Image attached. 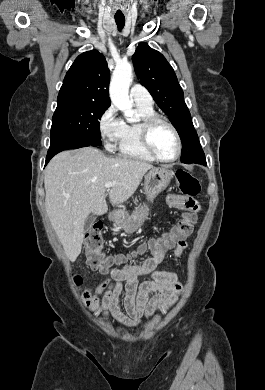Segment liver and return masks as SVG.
Listing matches in <instances>:
<instances>
[{
  "mask_svg": "<svg viewBox=\"0 0 265 390\" xmlns=\"http://www.w3.org/2000/svg\"><path fill=\"white\" fill-rule=\"evenodd\" d=\"M153 165L127 158H111L85 147L57 154L45 170V208L52 228L71 262L81 253L84 225L90 213L103 215L107 182L113 204H121L137 190Z\"/></svg>",
  "mask_w": 265,
  "mask_h": 390,
  "instance_id": "liver-1",
  "label": "liver"
}]
</instances>
